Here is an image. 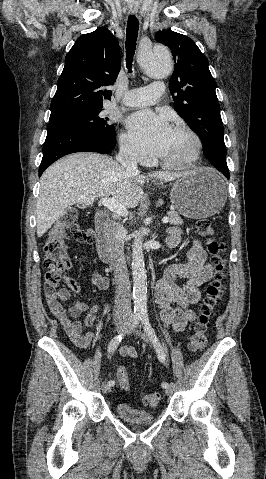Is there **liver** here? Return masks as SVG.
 Wrapping results in <instances>:
<instances>
[{
	"label": "liver",
	"instance_id": "obj_1",
	"mask_svg": "<svg viewBox=\"0 0 266 479\" xmlns=\"http://www.w3.org/2000/svg\"><path fill=\"white\" fill-rule=\"evenodd\" d=\"M185 174H132L105 155L92 152L68 155L51 165L41 177L36 203L37 236H43L70 205H92L96 198L111 195L126 208H134L144 199L142 185L146 180L169 182Z\"/></svg>",
	"mask_w": 266,
	"mask_h": 479
}]
</instances>
